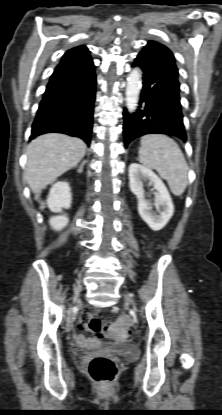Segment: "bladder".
Masks as SVG:
<instances>
[{"mask_svg": "<svg viewBox=\"0 0 222 415\" xmlns=\"http://www.w3.org/2000/svg\"><path fill=\"white\" fill-rule=\"evenodd\" d=\"M106 353L113 356H120L124 358H132L137 356L138 349L135 345L130 342L114 343L103 345ZM93 348H77L76 351L79 353H87L92 351Z\"/></svg>", "mask_w": 222, "mask_h": 415, "instance_id": "1", "label": "bladder"}]
</instances>
